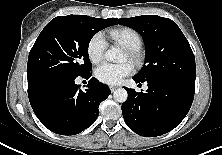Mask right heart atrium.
<instances>
[{
  "label": "right heart atrium",
  "mask_w": 222,
  "mask_h": 155,
  "mask_svg": "<svg viewBox=\"0 0 222 155\" xmlns=\"http://www.w3.org/2000/svg\"><path fill=\"white\" fill-rule=\"evenodd\" d=\"M107 45L104 35L100 32L95 33L89 40L87 47L89 59L93 63H99L105 55Z\"/></svg>",
  "instance_id": "d8ad5b80"
}]
</instances>
